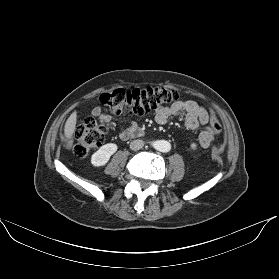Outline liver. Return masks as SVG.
Masks as SVG:
<instances>
[{"mask_svg":"<svg viewBox=\"0 0 279 279\" xmlns=\"http://www.w3.org/2000/svg\"><path fill=\"white\" fill-rule=\"evenodd\" d=\"M77 122V113L74 111L67 119L64 127V135L67 140H70L75 132Z\"/></svg>","mask_w":279,"mask_h":279,"instance_id":"obj_1","label":"liver"}]
</instances>
